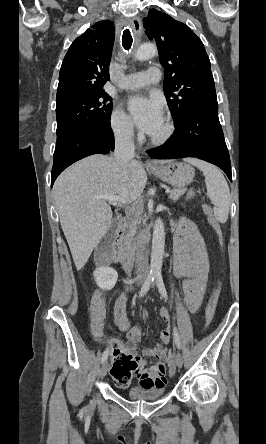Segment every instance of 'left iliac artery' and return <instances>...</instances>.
<instances>
[{"mask_svg":"<svg viewBox=\"0 0 266 444\" xmlns=\"http://www.w3.org/2000/svg\"><path fill=\"white\" fill-rule=\"evenodd\" d=\"M155 281H156V285L159 289L160 294L165 298V300H167L168 299L167 291H166L165 285L163 283L162 275L160 273L155 275ZM173 336H174V342H175L177 348L179 349L181 346V343H180L178 331L175 327L173 330Z\"/></svg>","mask_w":266,"mask_h":444,"instance_id":"44dca946","label":"left iliac artery"}]
</instances>
